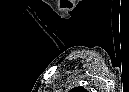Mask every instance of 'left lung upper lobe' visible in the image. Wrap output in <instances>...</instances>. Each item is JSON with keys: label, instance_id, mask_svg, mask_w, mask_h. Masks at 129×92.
Returning <instances> with one entry per match:
<instances>
[{"label": "left lung upper lobe", "instance_id": "5c2ea615", "mask_svg": "<svg viewBox=\"0 0 129 92\" xmlns=\"http://www.w3.org/2000/svg\"><path fill=\"white\" fill-rule=\"evenodd\" d=\"M70 92H87V91L82 87H76L70 90Z\"/></svg>", "mask_w": 129, "mask_h": 92}]
</instances>
